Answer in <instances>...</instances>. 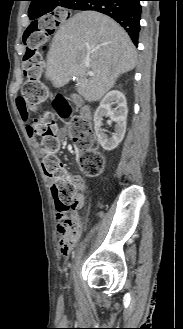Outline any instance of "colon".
<instances>
[{
  "mask_svg": "<svg viewBox=\"0 0 183 329\" xmlns=\"http://www.w3.org/2000/svg\"><path fill=\"white\" fill-rule=\"evenodd\" d=\"M41 19H34L33 25H28L22 31L25 52L22 69L25 80L22 85L23 96H16L18 114H35L31 118L33 134L41 138V148L44 154L42 160L43 171L47 177L53 179L51 192L55 202L57 218L59 219L66 242L74 245L79 229L65 215L70 210L78 208V184L67 174L66 169L58 157L59 142L54 116L48 110L40 107L43 97V86L39 81L41 71V52L50 49V38H55L59 26H65L66 21H72V14L56 13L41 14ZM42 81L47 79L45 74L40 76ZM65 99L62 95L55 98L54 107L63 117L69 113L62 110ZM71 135L80 150L79 165L88 177L98 176L104 168V158L96 150L97 142L89 123L79 117L71 119Z\"/></svg>",
  "mask_w": 183,
  "mask_h": 329,
  "instance_id": "colon-1",
  "label": "colon"
}]
</instances>
